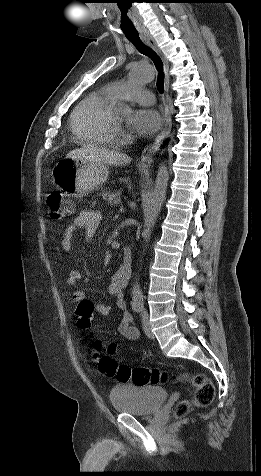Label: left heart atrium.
<instances>
[{"instance_id":"left-heart-atrium-1","label":"left heart atrium","mask_w":261,"mask_h":476,"mask_svg":"<svg viewBox=\"0 0 261 476\" xmlns=\"http://www.w3.org/2000/svg\"><path fill=\"white\" fill-rule=\"evenodd\" d=\"M132 130L141 135H151L161 125V117L157 111L150 108H142L134 111L129 119Z\"/></svg>"}]
</instances>
